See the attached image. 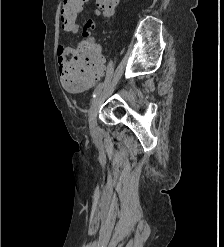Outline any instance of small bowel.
<instances>
[{
	"mask_svg": "<svg viewBox=\"0 0 224 247\" xmlns=\"http://www.w3.org/2000/svg\"><path fill=\"white\" fill-rule=\"evenodd\" d=\"M89 0H83V3L88 2ZM94 14L96 16H101V11L99 9L94 10ZM95 29V22L93 19H88L84 25V32L83 37L88 38L91 35V31ZM66 31L70 34H77L79 32V26L77 23L71 25L70 27L66 28ZM71 50L66 49L63 45H60L58 48V62L62 64L65 62V56L70 53Z\"/></svg>",
	"mask_w": 224,
	"mask_h": 247,
	"instance_id": "1",
	"label": "small bowel"
}]
</instances>
